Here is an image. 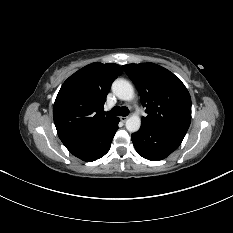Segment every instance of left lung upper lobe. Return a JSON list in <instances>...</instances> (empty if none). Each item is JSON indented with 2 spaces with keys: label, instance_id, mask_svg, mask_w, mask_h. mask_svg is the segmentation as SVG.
<instances>
[{
  "label": "left lung upper lobe",
  "instance_id": "1",
  "mask_svg": "<svg viewBox=\"0 0 233 233\" xmlns=\"http://www.w3.org/2000/svg\"><path fill=\"white\" fill-rule=\"evenodd\" d=\"M123 69L146 107L148 115L142 123L185 136L191 121V98L182 81L154 63L127 64Z\"/></svg>",
  "mask_w": 233,
  "mask_h": 233
}]
</instances>
